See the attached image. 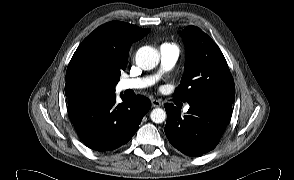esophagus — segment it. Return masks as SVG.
<instances>
[{"label":"esophagus","instance_id":"34e87169","mask_svg":"<svg viewBox=\"0 0 294 180\" xmlns=\"http://www.w3.org/2000/svg\"><path fill=\"white\" fill-rule=\"evenodd\" d=\"M151 103H152V107H160L162 105V103L156 99H152Z\"/></svg>","mask_w":294,"mask_h":180}]
</instances>
